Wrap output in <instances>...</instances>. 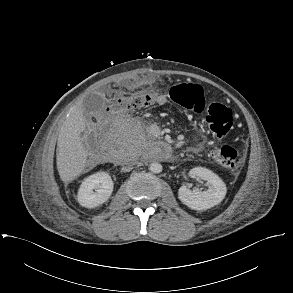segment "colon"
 <instances>
[{
  "label": "colon",
  "instance_id": "5ec220e1",
  "mask_svg": "<svg viewBox=\"0 0 293 293\" xmlns=\"http://www.w3.org/2000/svg\"><path fill=\"white\" fill-rule=\"evenodd\" d=\"M170 99L178 106L200 113L205 109L204 91L194 83H183L172 88ZM155 97L148 92H138L125 96L110 105L114 113L128 112L151 106ZM206 123L211 132L218 138L228 133L233 124L232 111L222 103H211L207 108ZM212 158L221 166L235 170L238 168V154L228 145L215 146L211 149Z\"/></svg>",
  "mask_w": 293,
  "mask_h": 293
}]
</instances>
